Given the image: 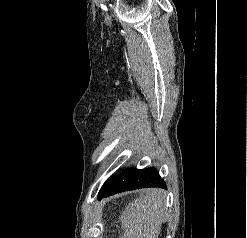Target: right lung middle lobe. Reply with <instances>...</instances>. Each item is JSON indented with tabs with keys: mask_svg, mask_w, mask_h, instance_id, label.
<instances>
[{
	"mask_svg": "<svg viewBox=\"0 0 247 238\" xmlns=\"http://www.w3.org/2000/svg\"><path fill=\"white\" fill-rule=\"evenodd\" d=\"M112 177L109 178L105 183L104 185L102 186L101 190H100V193L107 187V185L109 184V182L111 181Z\"/></svg>",
	"mask_w": 247,
	"mask_h": 238,
	"instance_id": "right-lung-middle-lobe-1",
	"label": "right lung middle lobe"
}]
</instances>
